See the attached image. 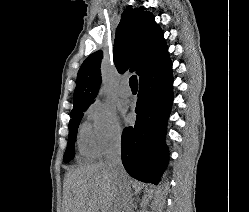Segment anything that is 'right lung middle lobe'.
I'll return each instance as SVG.
<instances>
[{
  "instance_id": "dd1d6c3e",
  "label": "right lung middle lobe",
  "mask_w": 249,
  "mask_h": 212,
  "mask_svg": "<svg viewBox=\"0 0 249 212\" xmlns=\"http://www.w3.org/2000/svg\"><path fill=\"white\" fill-rule=\"evenodd\" d=\"M87 108L75 109L71 111V120L69 122V136H68V145L64 154V162L68 163L74 157V143L78 130L79 123L81 118L83 117V112L86 111Z\"/></svg>"
}]
</instances>
